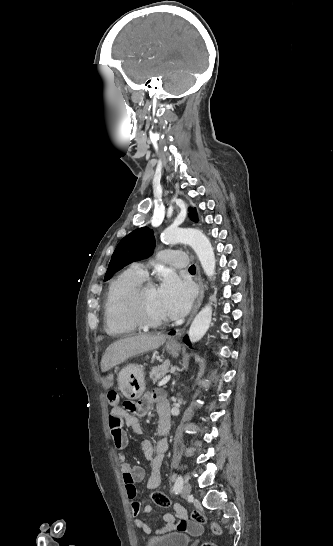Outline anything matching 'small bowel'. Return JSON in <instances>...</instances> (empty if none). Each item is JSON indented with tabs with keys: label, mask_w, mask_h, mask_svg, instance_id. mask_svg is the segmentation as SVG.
<instances>
[{
	"label": "small bowel",
	"mask_w": 333,
	"mask_h": 546,
	"mask_svg": "<svg viewBox=\"0 0 333 546\" xmlns=\"http://www.w3.org/2000/svg\"><path fill=\"white\" fill-rule=\"evenodd\" d=\"M111 375H106L102 381V386L105 389H110L113 386ZM156 406L159 423H158V435L159 439L156 446L149 439H142L139 442V446L146 459L151 461V471L147 481V486L151 489L157 488L161 485V465L164 455L168 448V442L166 435L169 431V406L167 399L159 393L147 392L136 404L127 407L126 409L120 407H114L108 416L109 431L115 447L122 451L127 444V437L123 430V424L130 427L134 433L141 434L143 432L142 426L138 417L145 415L148 410L153 406ZM132 412L133 414L129 413ZM120 471L124 482L125 490L128 498L131 502V509L134 515H138L141 511V505L137 502V490L136 483L140 482L144 478V470L139 466H132L129 464L123 455L120 456ZM176 516L180 519L177 523L175 517L172 514H165L164 524L159 526L156 530L158 534H164L175 530H185L189 527L192 530L197 529V525L189 524L187 522V513L180 506H176ZM152 512V507L146 505L143 507V513L149 514ZM136 527L142 529L145 533H150L151 529L147 523L142 519H135Z\"/></svg>",
	"instance_id": "c3829d8e"
}]
</instances>
